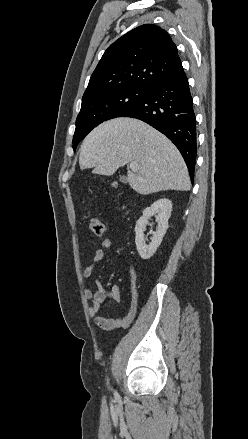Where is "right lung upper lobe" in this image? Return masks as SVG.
I'll return each instance as SVG.
<instances>
[{
  "mask_svg": "<svg viewBox=\"0 0 248 439\" xmlns=\"http://www.w3.org/2000/svg\"><path fill=\"white\" fill-rule=\"evenodd\" d=\"M182 70L169 34L156 25L145 24L120 37L105 51L82 103L124 88L148 91Z\"/></svg>",
  "mask_w": 248,
  "mask_h": 439,
  "instance_id": "right-lung-upper-lobe-1",
  "label": "right lung upper lobe"
}]
</instances>
